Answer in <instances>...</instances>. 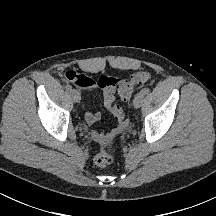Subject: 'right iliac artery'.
<instances>
[{
    "mask_svg": "<svg viewBox=\"0 0 216 216\" xmlns=\"http://www.w3.org/2000/svg\"><path fill=\"white\" fill-rule=\"evenodd\" d=\"M65 88H66L67 91H71L72 90V87L70 85H68V84L65 86Z\"/></svg>",
    "mask_w": 216,
    "mask_h": 216,
    "instance_id": "82829eb1",
    "label": "right iliac artery"
}]
</instances>
